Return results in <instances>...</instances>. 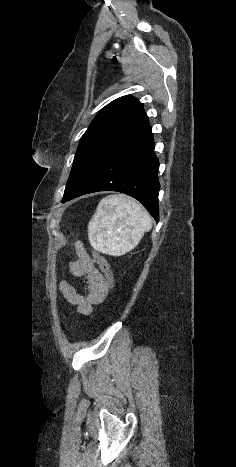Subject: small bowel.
<instances>
[{
    "label": "small bowel",
    "instance_id": "small-bowel-1",
    "mask_svg": "<svg viewBox=\"0 0 236 467\" xmlns=\"http://www.w3.org/2000/svg\"><path fill=\"white\" fill-rule=\"evenodd\" d=\"M70 272L75 277L85 279L84 293H79L67 280L60 281V291L70 304L76 306L79 314L89 315L93 307L105 299L109 286L97 263L80 243L75 244V259L70 263Z\"/></svg>",
    "mask_w": 236,
    "mask_h": 467
}]
</instances>
